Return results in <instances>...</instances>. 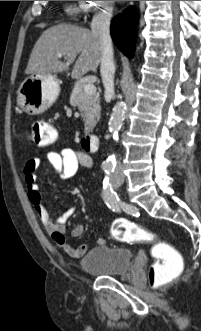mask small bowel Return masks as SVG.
Returning <instances> with one entry per match:
<instances>
[{"mask_svg": "<svg viewBox=\"0 0 201 331\" xmlns=\"http://www.w3.org/2000/svg\"><path fill=\"white\" fill-rule=\"evenodd\" d=\"M47 160L62 179L73 177L80 165L85 167L92 166V161L88 155L69 147H62L57 151L48 152ZM40 166L41 160L39 158L28 159L23 166V175L26 183L28 199L45 230L51 234L58 248L70 257H82L87 252L88 245L81 244L74 247L70 245L65 238L66 222L73 216L76 207L67 209L57 219H53L50 216L42 202V194L36 179V171ZM71 234L75 238L81 237L84 234L83 225H76L72 229ZM104 242V238L100 237L98 239L99 244H103Z\"/></svg>", "mask_w": 201, "mask_h": 331, "instance_id": "c3829d8e", "label": "small bowel"}]
</instances>
